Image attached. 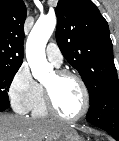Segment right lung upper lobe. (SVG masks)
I'll return each mask as SVG.
<instances>
[{
  "instance_id": "1",
  "label": "right lung upper lobe",
  "mask_w": 119,
  "mask_h": 141,
  "mask_svg": "<svg viewBox=\"0 0 119 141\" xmlns=\"http://www.w3.org/2000/svg\"><path fill=\"white\" fill-rule=\"evenodd\" d=\"M25 18L22 0H0V66H21Z\"/></svg>"
}]
</instances>
